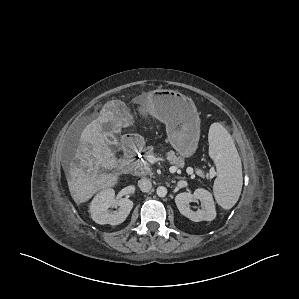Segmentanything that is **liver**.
I'll use <instances>...</instances> for the list:
<instances>
[{
    "label": "liver",
    "mask_w": 299,
    "mask_h": 299,
    "mask_svg": "<svg viewBox=\"0 0 299 299\" xmlns=\"http://www.w3.org/2000/svg\"><path fill=\"white\" fill-rule=\"evenodd\" d=\"M132 116L120 100L104 105L99 116L82 131L80 143L67 171V183L73 200L77 203L88 201L96 192L117 184V177L100 173V168L112 170L117 167L115 153L106 143L102 125L110 122L116 132L129 126Z\"/></svg>",
    "instance_id": "1"
}]
</instances>
